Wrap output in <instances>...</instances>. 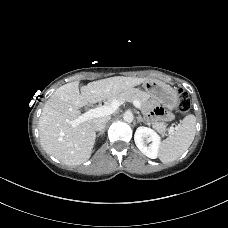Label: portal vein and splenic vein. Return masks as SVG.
Here are the masks:
<instances>
[{"mask_svg": "<svg viewBox=\"0 0 228 228\" xmlns=\"http://www.w3.org/2000/svg\"><path fill=\"white\" fill-rule=\"evenodd\" d=\"M132 103L136 108H140V106H141L139 101H137V100H134ZM121 104H122V102L115 99L112 101L111 104H109L107 106L90 109L87 112L83 113L82 115L78 116L76 119L67 121V122L69 124H71L73 127H76L80 123L85 122L89 119L103 117V116H107V115L114 113Z\"/></svg>", "mask_w": 228, "mask_h": 228, "instance_id": "18ae733b", "label": "portal vein and splenic vein"}]
</instances>
